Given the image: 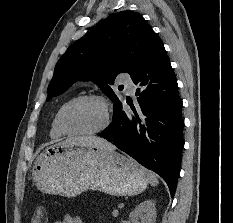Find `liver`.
<instances>
[{"mask_svg":"<svg viewBox=\"0 0 233 223\" xmlns=\"http://www.w3.org/2000/svg\"><path fill=\"white\" fill-rule=\"evenodd\" d=\"M69 143H76V145H85V147H98V149H108V151H114L115 145L109 143L107 139L103 137H97V135H80V137H70Z\"/></svg>","mask_w":233,"mask_h":223,"instance_id":"obj_1","label":"liver"}]
</instances>
